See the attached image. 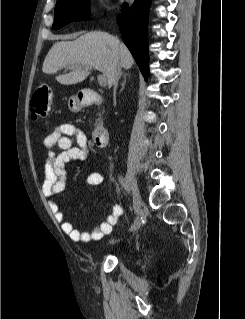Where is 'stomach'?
I'll return each instance as SVG.
<instances>
[{"label": "stomach", "mask_w": 245, "mask_h": 319, "mask_svg": "<svg viewBox=\"0 0 245 319\" xmlns=\"http://www.w3.org/2000/svg\"><path fill=\"white\" fill-rule=\"evenodd\" d=\"M68 108L72 112H79L83 108V103L77 96H71L68 99Z\"/></svg>", "instance_id": "obj_1"}]
</instances>
